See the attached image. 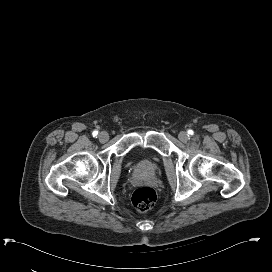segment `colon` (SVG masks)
Returning a JSON list of instances; mask_svg holds the SVG:
<instances>
[{
  "mask_svg": "<svg viewBox=\"0 0 272 272\" xmlns=\"http://www.w3.org/2000/svg\"><path fill=\"white\" fill-rule=\"evenodd\" d=\"M156 199V192L150 187H141L136 189L131 197L133 206L139 212L149 210L155 204Z\"/></svg>",
  "mask_w": 272,
  "mask_h": 272,
  "instance_id": "colon-1",
  "label": "colon"
}]
</instances>
